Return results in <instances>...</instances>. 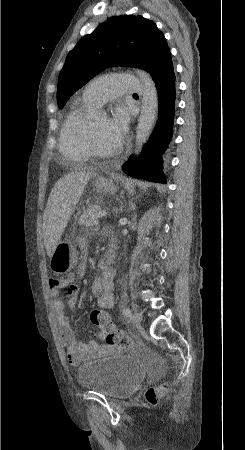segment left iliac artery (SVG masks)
<instances>
[{
  "label": "left iliac artery",
  "mask_w": 245,
  "mask_h": 450,
  "mask_svg": "<svg viewBox=\"0 0 245 450\" xmlns=\"http://www.w3.org/2000/svg\"><path fill=\"white\" fill-rule=\"evenodd\" d=\"M123 314L126 318H131L132 314H131V310L128 307H125L123 309Z\"/></svg>",
  "instance_id": "1"
}]
</instances>
